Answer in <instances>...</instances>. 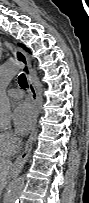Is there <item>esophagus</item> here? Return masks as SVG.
<instances>
[{
    "label": "esophagus",
    "mask_w": 89,
    "mask_h": 203,
    "mask_svg": "<svg viewBox=\"0 0 89 203\" xmlns=\"http://www.w3.org/2000/svg\"><path fill=\"white\" fill-rule=\"evenodd\" d=\"M13 55H14L15 59L17 60V62L21 65L22 70H23L24 74L26 75V78L28 80L29 87H30L31 100H32L34 110H35L34 124L32 127L30 137L26 143L25 150L22 152V154H20L17 157L16 161L13 164L14 169L16 171H20L22 169L23 165L25 164V162L30 154L31 148H32L33 137H34V134H35L36 128H37V119L39 116V109H38V93H37V89H36L34 79H33V70L31 68L30 58L23 50H21L19 48H15L13 50Z\"/></svg>",
    "instance_id": "obj_1"
}]
</instances>
